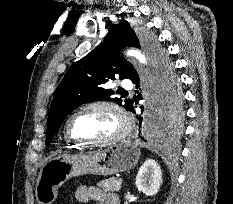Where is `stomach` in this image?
I'll use <instances>...</instances> for the list:
<instances>
[{"label":"stomach","mask_w":233,"mask_h":204,"mask_svg":"<svg viewBox=\"0 0 233 204\" xmlns=\"http://www.w3.org/2000/svg\"><path fill=\"white\" fill-rule=\"evenodd\" d=\"M140 154L136 143L123 141L87 155H63L50 159L40 170L35 188L36 200L38 204H53L58 188L72 177L84 174L108 176L133 169Z\"/></svg>","instance_id":"1"}]
</instances>
